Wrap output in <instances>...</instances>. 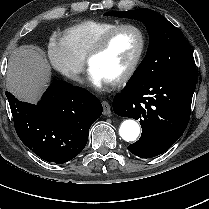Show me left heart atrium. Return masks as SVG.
<instances>
[{"mask_svg": "<svg viewBox=\"0 0 209 209\" xmlns=\"http://www.w3.org/2000/svg\"><path fill=\"white\" fill-rule=\"evenodd\" d=\"M88 80L95 86L101 87L104 83L108 82L95 68L90 67L87 74Z\"/></svg>", "mask_w": 209, "mask_h": 209, "instance_id": "obj_1", "label": "left heart atrium"}]
</instances>
